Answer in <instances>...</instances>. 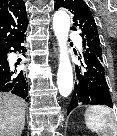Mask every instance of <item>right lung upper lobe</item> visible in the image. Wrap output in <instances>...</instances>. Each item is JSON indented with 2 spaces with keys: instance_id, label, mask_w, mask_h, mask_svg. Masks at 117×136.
<instances>
[{
  "instance_id": "1",
  "label": "right lung upper lobe",
  "mask_w": 117,
  "mask_h": 136,
  "mask_svg": "<svg viewBox=\"0 0 117 136\" xmlns=\"http://www.w3.org/2000/svg\"><path fill=\"white\" fill-rule=\"evenodd\" d=\"M28 25L23 0H0V52Z\"/></svg>"
}]
</instances>
